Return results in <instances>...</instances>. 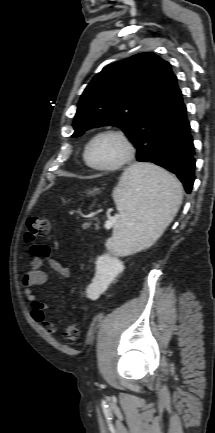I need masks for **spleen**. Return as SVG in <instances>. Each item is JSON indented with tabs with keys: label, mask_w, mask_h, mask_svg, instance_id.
I'll return each instance as SVG.
<instances>
[{
	"label": "spleen",
	"mask_w": 215,
	"mask_h": 433,
	"mask_svg": "<svg viewBox=\"0 0 215 433\" xmlns=\"http://www.w3.org/2000/svg\"><path fill=\"white\" fill-rule=\"evenodd\" d=\"M119 219L106 247L129 255L152 246L174 219L182 202L181 184L149 163L129 166L113 190Z\"/></svg>",
	"instance_id": "spleen-1"
}]
</instances>
